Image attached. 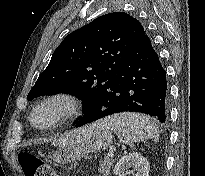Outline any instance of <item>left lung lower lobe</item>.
I'll return each mask as SVG.
<instances>
[{
    "label": "left lung lower lobe",
    "mask_w": 205,
    "mask_h": 176,
    "mask_svg": "<svg viewBox=\"0 0 205 176\" xmlns=\"http://www.w3.org/2000/svg\"><path fill=\"white\" fill-rule=\"evenodd\" d=\"M119 112H140L163 124L167 121L166 72L146 34L76 127Z\"/></svg>",
    "instance_id": "obj_1"
}]
</instances>
